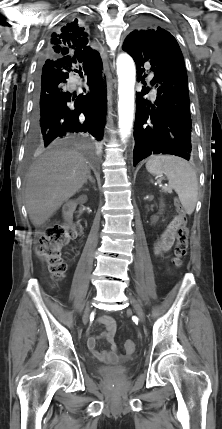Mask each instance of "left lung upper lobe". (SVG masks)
Segmentation results:
<instances>
[{
    "label": "left lung upper lobe",
    "mask_w": 222,
    "mask_h": 429,
    "mask_svg": "<svg viewBox=\"0 0 222 429\" xmlns=\"http://www.w3.org/2000/svg\"><path fill=\"white\" fill-rule=\"evenodd\" d=\"M164 33H166V31L160 27H144L143 29L134 30L126 37L123 50L127 52L133 43L144 41L149 47L154 48L158 43L163 41Z\"/></svg>",
    "instance_id": "obj_1"
}]
</instances>
